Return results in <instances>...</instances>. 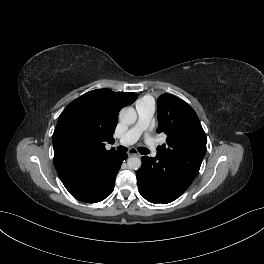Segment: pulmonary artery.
<instances>
[{"label": "pulmonary artery", "instance_id": "obj_1", "mask_svg": "<svg viewBox=\"0 0 264 264\" xmlns=\"http://www.w3.org/2000/svg\"><path fill=\"white\" fill-rule=\"evenodd\" d=\"M138 120L136 124L128 130L118 141L120 145L128 146L134 144L140 135L146 130L151 118L155 112V106L152 102H138L136 105ZM147 144L153 156L156 155V147L151 140H147Z\"/></svg>", "mask_w": 264, "mask_h": 264}]
</instances>
